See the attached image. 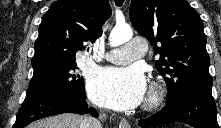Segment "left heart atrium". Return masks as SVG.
<instances>
[{"label": "left heart atrium", "instance_id": "1", "mask_svg": "<svg viewBox=\"0 0 221 128\" xmlns=\"http://www.w3.org/2000/svg\"><path fill=\"white\" fill-rule=\"evenodd\" d=\"M146 81L139 66L103 68L88 78V93L93 102L114 110H131L144 99Z\"/></svg>", "mask_w": 221, "mask_h": 128}]
</instances>
